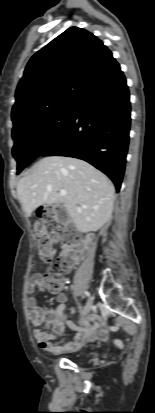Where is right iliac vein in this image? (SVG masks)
Masks as SVG:
<instances>
[{
	"mask_svg": "<svg viewBox=\"0 0 155 413\" xmlns=\"http://www.w3.org/2000/svg\"><path fill=\"white\" fill-rule=\"evenodd\" d=\"M92 306H93V297L90 296L88 298V301H87L86 306L84 308L83 315L88 314L90 312V310L92 309Z\"/></svg>",
	"mask_w": 155,
	"mask_h": 413,
	"instance_id": "obj_1",
	"label": "right iliac vein"
}]
</instances>
